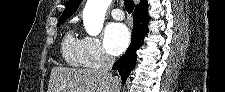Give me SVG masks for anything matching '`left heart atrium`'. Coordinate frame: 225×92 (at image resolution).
I'll return each mask as SVG.
<instances>
[{"label":"left heart atrium","mask_w":225,"mask_h":92,"mask_svg":"<svg viewBox=\"0 0 225 92\" xmlns=\"http://www.w3.org/2000/svg\"><path fill=\"white\" fill-rule=\"evenodd\" d=\"M130 42V32L121 23H112L104 33V46L111 55L121 54Z\"/></svg>","instance_id":"39dd6f15"}]
</instances>
